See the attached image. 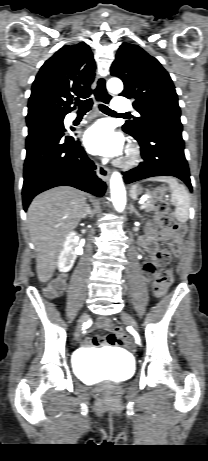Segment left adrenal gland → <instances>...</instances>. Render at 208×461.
Returning a JSON list of instances; mask_svg holds the SVG:
<instances>
[{
  "instance_id": "left-adrenal-gland-1",
  "label": "left adrenal gland",
  "mask_w": 208,
  "mask_h": 461,
  "mask_svg": "<svg viewBox=\"0 0 208 461\" xmlns=\"http://www.w3.org/2000/svg\"><path fill=\"white\" fill-rule=\"evenodd\" d=\"M130 213H135L136 216L140 217V214L134 209L132 204H130Z\"/></svg>"
}]
</instances>
